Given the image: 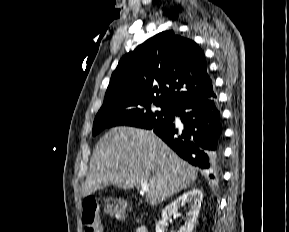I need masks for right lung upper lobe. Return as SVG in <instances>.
Returning a JSON list of instances; mask_svg holds the SVG:
<instances>
[{
  "instance_id": "1",
  "label": "right lung upper lobe",
  "mask_w": 289,
  "mask_h": 232,
  "mask_svg": "<svg viewBox=\"0 0 289 232\" xmlns=\"http://www.w3.org/2000/svg\"><path fill=\"white\" fill-rule=\"evenodd\" d=\"M207 68L204 52L194 41L163 31L122 57L105 99L135 97L176 108L212 98L216 94Z\"/></svg>"
}]
</instances>
